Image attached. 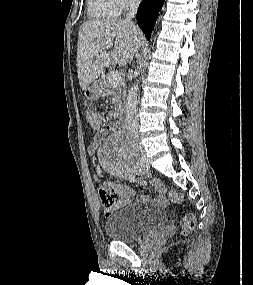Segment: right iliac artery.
<instances>
[{"mask_svg":"<svg viewBox=\"0 0 253 285\" xmlns=\"http://www.w3.org/2000/svg\"><path fill=\"white\" fill-rule=\"evenodd\" d=\"M125 179H128L129 182L133 183L135 182V175L133 173L129 174Z\"/></svg>","mask_w":253,"mask_h":285,"instance_id":"1","label":"right iliac artery"}]
</instances>
